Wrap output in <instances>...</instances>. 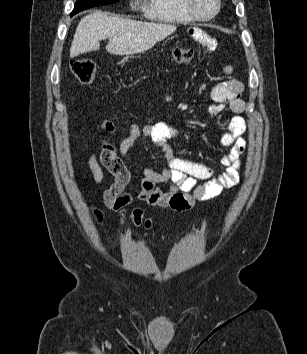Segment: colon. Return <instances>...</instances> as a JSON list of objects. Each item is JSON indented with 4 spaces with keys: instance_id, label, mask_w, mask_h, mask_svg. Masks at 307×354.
I'll list each match as a JSON object with an SVG mask.
<instances>
[{
    "instance_id": "1",
    "label": "colon",
    "mask_w": 307,
    "mask_h": 354,
    "mask_svg": "<svg viewBox=\"0 0 307 354\" xmlns=\"http://www.w3.org/2000/svg\"><path fill=\"white\" fill-rule=\"evenodd\" d=\"M194 52L189 48H176L171 54V58L177 63H188L193 59ZM70 71L73 76L82 84H92L96 79V65L89 58H77L70 61ZM132 219L135 224L144 226L147 229L152 228L153 221L146 217L141 209H136L132 213Z\"/></svg>"
}]
</instances>
